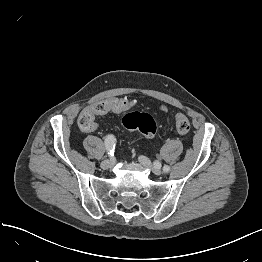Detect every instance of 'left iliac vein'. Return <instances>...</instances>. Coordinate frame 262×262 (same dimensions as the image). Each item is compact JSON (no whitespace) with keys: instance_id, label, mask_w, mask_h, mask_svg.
<instances>
[{"instance_id":"4c4485c4","label":"left iliac vein","mask_w":262,"mask_h":262,"mask_svg":"<svg viewBox=\"0 0 262 262\" xmlns=\"http://www.w3.org/2000/svg\"><path fill=\"white\" fill-rule=\"evenodd\" d=\"M139 162L147 169H150L154 174L160 175L161 174V169L157 165H153L151 161L145 157V156H140L139 157Z\"/></svg>"}]
</instances>
